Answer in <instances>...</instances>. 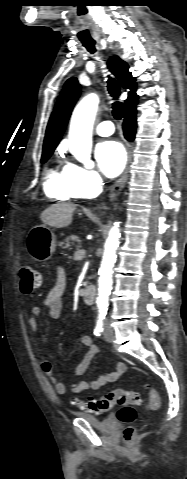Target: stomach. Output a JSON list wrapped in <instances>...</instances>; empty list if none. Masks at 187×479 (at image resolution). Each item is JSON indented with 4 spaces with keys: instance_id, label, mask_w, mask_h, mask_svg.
<instances>
[{
    "instance_id": "stomach-1",
    "label": "stomach",
    "mask_w": 187,
    "mask_h": 479,
    "mask_svg": "<svg viewBox=\"0 0 187 479\" xmlns=\"http://www.w3.org/2000/svg\"><path fill=\"white\" fill-rule=\"evenodd\" d=\"M26 245L34 260L44 262L55 252L56 238L52 230L45 225L36 226L29 231Z\"/></svg>"
}]
</instances>
